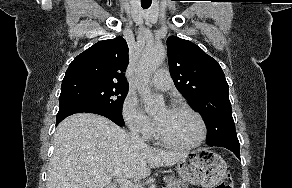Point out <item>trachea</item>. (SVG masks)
Instances as JSON below:
<instances>
[{
	"mask_svg": "<svg viewBox=\"0 0 292 188\" xmlns=\"http://www.w3.org/2000/svg\"><path fill=\"white\" fill-rule=\"evenodd\" d=\"M143 9H148L151 6V3H141Z\"/></svg>",
	"mask_w": 292,
	"mask_h": 188,
	"instance_id": "3493384b",
	"label": "trachea"
}]
</instances>
